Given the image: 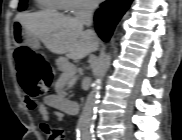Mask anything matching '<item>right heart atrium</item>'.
I'll list each match as a JSON object with an SVG mask.
<instances>
[{
	"label": "right heart atrium",
	"instance_id": "d8ad5b80",
	"mask_svg": "<svg viewBox=\"0 0 182 140\" xmlns=\"http://www.w3.org/2000/svg\"><path fill=\"white\" fill-rule=\"evenodd\" d=\"M94 2L90 0H65L63 9L71 14H84L91 11Z\"/></svg>",
	"mask_w": 182,
	"mask_h": 140
}]
</instances>
